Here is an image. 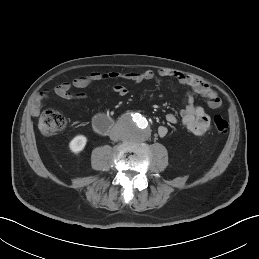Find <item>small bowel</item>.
<instances>
[{
  "label": "small bowel",
  "mask_w": 259,
  "mask_h": 259,
  "mask_svg": "<svg viewBox=\"0 0 259 259\" xmlns=\"http://www.w3.org/2000/svg\"><path fill=\"white\" fill-rule=\"evenodd\" d=\"M155 75V72L152 70L128 73L118 71L92 72L78 78L74 83L64 82L50 90H42L38 92L32 99V113L37 115L44 102L51 94L66 100L85 98V95L83 94L74 97L70 92L72 86L85 88L94 82L117 80L121 78L128 79L135 83H140L152 80ZM157 75L160 77H175L181 85L187 88L184 96L183 107L180 110L182 123L192 134L196 136L204 135L211 128L210 117L203 107L194 103L193 93H197L205 98L209 107L218 108L221 105V99L217 91L203 79L178 73L170 69H160L157 72ZM113 90L120 96H124L128 92L127 88L120 83L114 84ZM165 118L168 123L174 124L177 122V116L174 113H167ZM157 132L160 137H165L168 134V129L165 126H160Z\"/></svg>",
  "instance_id": "c3829d8e"
}]
</instances>
